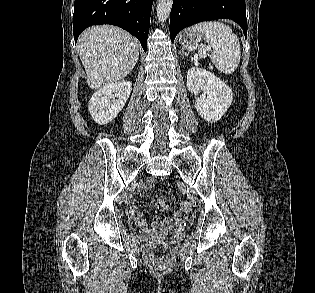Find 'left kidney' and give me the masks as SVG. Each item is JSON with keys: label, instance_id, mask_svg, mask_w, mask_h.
<instances>
[{"label": "left kidney", "instance_id": "1", "mask_svg": "<svg viewBox=\"0 0 315 293\" xmlns=\"http://www.w3.org/2000/svg\"><path fill=\"white\" fill-rule=\"evenodd\" d=\"M187 87L191 93L203 94L195 101V108L200 116L211 123L221 119L230 107L233 99L232 90L220 78L211 72L193 67L187 73Z\"/></svg>", "mask_w": 315, "mask_h": 293}]
</instances>
